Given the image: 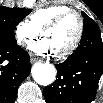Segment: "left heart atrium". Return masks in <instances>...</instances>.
I'll return each mask as SVG.
<instances>
[{"label": "left heart atrium", "mask_w": 103, "mask_h": 103, "mask_svg": "<svg viewBox=\"0 0 103 103\" xmlns=\"http://www.w3.org/2000/svg\"><path fill=\"white\" fill-rule=\"evenodd\" d=\"M30 49L37 54H48L54 52L50 41L45 37L31 44Z\"/></svg>", "instance_id": "left-heart-atrium-1"}]
</instances>
